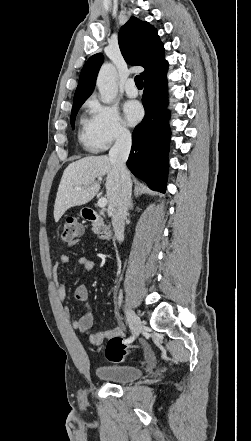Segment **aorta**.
<instances>
[{
  "label": "aorta",
  "mask_w": 251,
  "mask_h": 441,
  "mask_svg": "<svg viewBox=\"0 0 251 441\" xmlns=\"http://www.w3.org/2000/svg\"><path fill=\"white\" fill-rule=\"evenodd\" d=\"M116 75V68L111 63L103 64L98 73L97 87L101 101L105 104H110L117 96L118 87Z\"/></svg>",
  "instance_id": "1"
}]
</instances>
